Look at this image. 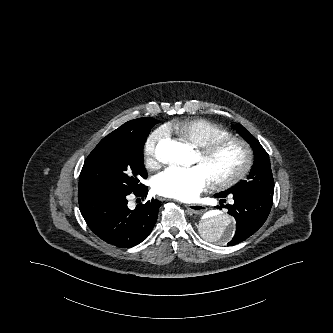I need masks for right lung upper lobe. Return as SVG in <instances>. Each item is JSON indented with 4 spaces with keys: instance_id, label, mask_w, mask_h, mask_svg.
<instances>
[{
    "instance_id": "obj_1",
    "label": "right lung upper lobe",
    "mask_w": 333,
    "mask_h": 333,
    "mask_svg": "<svg viewBox=\"0 0 333 333\" xmlns=\"http://www.w3.org/2000/svg\"><path fill=\"white\" fill-rule=\"evenodd\" d=\"M146 118L147 117L128 121L110 134L111 135H133L139 130V128L142 126V124L144 123Z\"/></svg>"
}]
</instances>
